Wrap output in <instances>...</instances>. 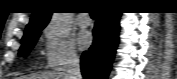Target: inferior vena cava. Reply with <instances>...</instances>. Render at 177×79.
Listing matches in <instances>:
<instances>
[{"label": "inferior vena cava", "instance_id": "obj_1", "mask_svg": "<svg viewBox=\"0 0 177 79\" xmlns=\"http://www.w3.org/2000/svg\"><path fill=\"white\" fill-rule=\"evenodd\" d=\"M66 75L69 79H82L80 59L75 52H71L69 55L68 63L66 65Z\"/></svg>", "mask_w": 177, "mask_h": 79}]
</instances>
